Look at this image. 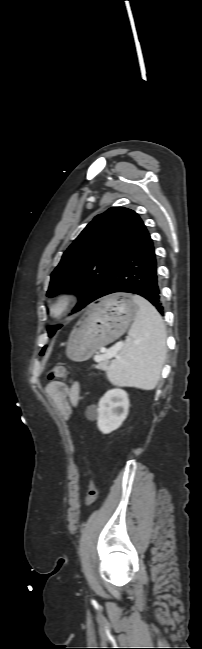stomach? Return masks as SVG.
Instances as JSON below:
<instances>
[{
  "label": "stomach",
  "instance_id": "obj_1",
  "mask_svg": "<svg viewBox=\"0 0 202 649\" xmlns=\"http://www.w3.org/2000/svg\"><path fill=\"white\" fill-rule=\"evenodd\" d=\"M138 312L133 295L119 293L103 298L73 328L67 343V357L74 361L91 358L98 349L121 336Z\"/></svg>",
  "mask_w": 202,
  "mask_h": 649
}]
</instances>
